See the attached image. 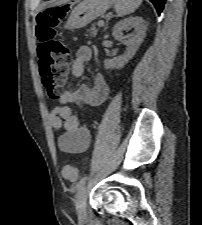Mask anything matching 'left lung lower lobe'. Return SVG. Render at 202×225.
Listing matches in <instances>:
<instances>
[{
	"mask_svg": "<svg viewBox=\"0 0 202 225\" xmlns=\"http://www.w3.org/2000/svg\"><path fill=\"white\" fill-rule=\"evenodd\" d=\"M150 1L154 4L158 14H160L163 10L166 0H150Z\"/></svg>",
	"mask_w": 202,
	"mask_h": 225,
	"instance_id": "0a47b994",
	"label": "left lung lower lobe"
}]
</instances>
